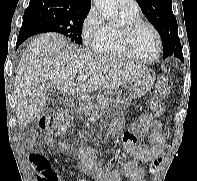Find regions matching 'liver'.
<instances>
[{"mask_svg":"<svg viewBox=\"0 0 197 181\" xmlns=\"http://www.w3.org/2000/svg\"><path fill=\"white\" fill-rule=\"evenodd\" d=\"M150 72L141 65L68 45L63 35H39L27 46L17 68L14 100L18 124L27 126L44 109L48 87L55 86L66 96H85L132 83ZM76 75H86L88 80L77 84Z\"/></svg>","mask_w":197,"mask_h":181,"instance_id":"obj_1","label":"liver"}]
</instances>
